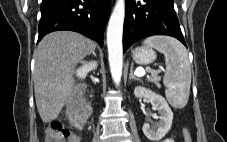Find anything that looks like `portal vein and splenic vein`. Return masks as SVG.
I'll list each match as a JSON object with an SVG mask.
<instances>
[{
	"instance_id": "1",
	"label": "portal vein and splenic vein",
	"mask_w": 227,
	"mask_h": 142,
	"mask_svg": "<svg viewBox=\"0 0 227 142\" xmlns=\"http://www.w3.org/2000/svg\"><path fill=\"white\" fill-rule=\"evenodd\" d=\"M146 72H151V74H157V73H159V71L139 70V71H137L136 75L137 76H143V75L146 74Z\"/></svg>"
}]
</instances>
